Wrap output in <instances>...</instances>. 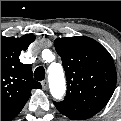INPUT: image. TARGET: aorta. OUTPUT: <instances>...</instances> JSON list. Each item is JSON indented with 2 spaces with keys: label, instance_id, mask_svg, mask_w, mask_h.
Wrapping results in <instances>:
<instances>
[{
  "label": "aorta",
  "instance_id": "1",
  "mask_svg": "<svg viewBox=\"0 0 121 121\" xmlns=\"http://www.w3.org/2000/svg\"><path fill=\"white\" fill-rule=\"evenodd\" d=\"M49 87L51 95L55 99H60L66 90L64 72L60 64H53L48 68Z\"/></svg>",
  "mask_w": 121,
  "mask_h": 121
}]
</instances>
